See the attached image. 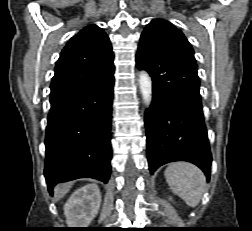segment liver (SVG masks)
I'll return each mask as SVG.
<instances>
[{"instance_id":"1","label":"liver","mask_w":252,"mask_h":231,"mask_svg":"<svg viewBox=\"0 0 252 231\" xmlns=\"http://www.w3.org/2000/svg\"><path fill=\"white\" fill-rule=\"evenodd\" d=\"M69 187H70L69 185H57L54 191L61 196L69 189Z\"/></svg>"}]
</instances>
